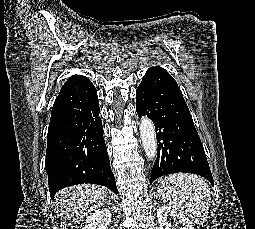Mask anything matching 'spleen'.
<instances>
[{"label": "spleen", "mask_w": 255, "mask_h": 229, "mask_svg": "<svg viewBox=\"0 0 255 229\" xmlns=\"http://www.w3.org/2000/svg\"><path fill=\"white\" fill-rule=\"evenodd\" d=\"M157 192L165 203L196 223L206 221L211 195L204 178L188 173L171 174L160 180Z\"/></svg>", "instance_id": "obj_1"}]
</instances>
